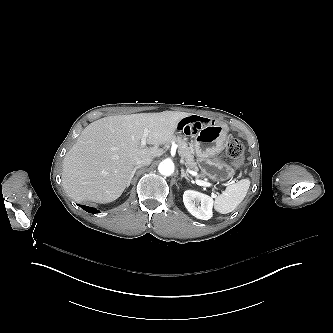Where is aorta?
<instances>
[{
  "label": "aorta",
  "mask_w": 333,
  "mask_h": 333,
  "mask_svg": "<svg viewBox=\"0 0 333 333\" xmlns=\"http://www.w3.org/2000/svg\"><path fill=\"white\" fill-rule=\"evenodd\" d=\"M158 170L160 174L170 176L174 172V163L170 159H165L159 164Z\"/></svg>",
  "instance_id": "obj_1"
}]
</instances>
